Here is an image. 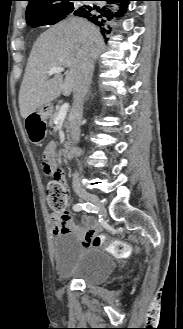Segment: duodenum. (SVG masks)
Here are the masks:
<instances>
[{
  "mask_svg": "<svg viewBox=\"0 0 183 329\" xmlns=\"http://www.w3.org/2000/svg\"><path fill=\"white\" fill-rule=\"evenodd\" d=\"M80 153V149L78 147H74V146H71V147H67L64 152H63V155L66 159H72L74 156H76L77 154Z\"/></svg>",
  "mask_w": 183,
  "mask_h": 329,
  "instance_id": "obj_1",
  "label": "duodenum"
}]
</instances>
